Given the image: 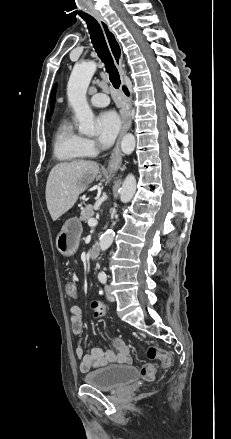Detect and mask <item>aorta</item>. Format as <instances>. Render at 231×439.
Instances as JSON below:
<instances>
[{
	"mask_svg": "<svg viewBox=\"0 0 231 439\" xmlns=\"http://www.w3.org/2000/svg\"><path fill=\"white\" fill-rule=\"evenodd\" d=\"M97 65L94 61L76 64L71 72L68 85L67 96L68 102L75 112L76 119L79 123V132L88 136H94L96 129L94 125V115L90 109L86 93L90 81L96 71ZM135 137L133 134H126L121 141V150L124 154H131L135 148ZM136 191V179L134 175L129 174L125 178L120 189V200L123 203L129 202ZM115 233L113 230H107L100 238V249L106 251L113 243ZM99 277L105 276L104 272L98 274Z\"/></svg>",
	"mask_w": 231,
	"mask_h": 439,
	"instance_id": "aorta-1",
	"label": "aorta"
}]
</instances>
